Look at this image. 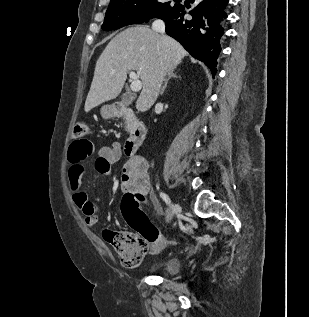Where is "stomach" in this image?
Returning a JSON list of instances; mask_svg holds the SVG:
<instances>
[{"mask_svg": "<svg viewBox=\"0 0 309 317\" xmlns=\"http://www.w3.org/2000/svg\"><path fill=\"white\" fill-rule=\"evenodd\" d=\"M116 111L115 109L112 107V106H103L101 108V116L104 118V119H109V118H112L114 116H116Z\"/></svg>", "mask_w": 309, "mask_h": 317, "instance_id": "1", "label": "stomach"}]
</instances>
